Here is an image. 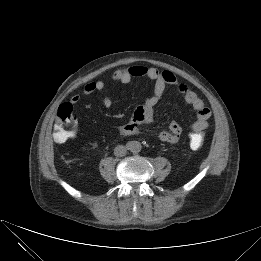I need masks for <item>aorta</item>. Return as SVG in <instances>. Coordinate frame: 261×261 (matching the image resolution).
I'll return each mask as SVG.
<instances>
[{"label": "aorta", "instance_id": "1", "mask_svg": "<svg viewBox=\"0 0 261 261\" xmlns=\"http://www.w3.org/2000/svg\"><path fill=\"white\" fill-rule=\"evenodd\" d=\"M141 143L139 141H130L128 143V149L132 152V153H138L141 151Z\"/></svg>", "mask_w": 261, "mask_h": 261}]
</instances>
